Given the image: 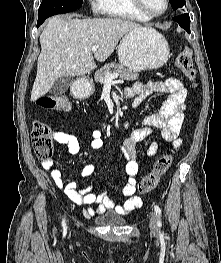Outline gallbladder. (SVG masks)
<instances>
[{
	"label": "gallbladder",
	"instance_id": "bac80fb5",
	"mask_svg": "<svg viewBox=\"0 0 221 263\" xmlns=\"http://www.w3.org/2000/svg\"><path fill=\"white\" fill-rule=\"evenodd\" d=\"M73 78L71 76H62L58 78L50 89V93L58 96L65 93L71 86Z\"/></svg>",
	"mask_w": 221,
	"mask_h": 263
}]
</instances>
